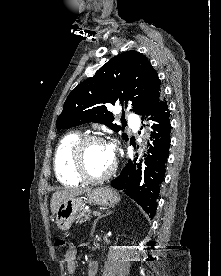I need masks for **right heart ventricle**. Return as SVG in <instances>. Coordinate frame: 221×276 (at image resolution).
Listing matches in <instances>:
<instances>
[{
    "instance_id": "right-heart-ventricle-1",
    "label": "right heart ventricle",
    "mask_w": 221,
    "mask_h": 276,
    "mask_svg": "<svg viewBox=\"0 0 221 276\" xmlns=\"http://www.w3.org/2000/svg\"><path fill=\"white\" fill-rule=\"evenodd\" d=\"M81 137L77 131L69 132L59 141L54 155V167L58 179L66 185H78L82 179L74 172L71 163V151Z\"/></svg>"
}]
</instances>
